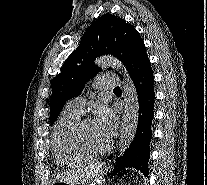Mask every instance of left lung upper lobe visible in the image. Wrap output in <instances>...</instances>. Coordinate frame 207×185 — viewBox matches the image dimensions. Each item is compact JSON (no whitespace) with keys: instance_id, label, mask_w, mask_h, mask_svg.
<instances>
[{"instance_id":"obj_1","label":"left lung upper lobe","mask_w":207,"mask_h":185,"mask_svg":"<svg viewBox=\"0 0 207 185\" xmlns=\"http://www.w3.org/2000/svg\"><path fill=\"white\" fill-rule=\"evenodd\" d=\"M142 38L124 19L104 14L86 30L78 48L73 51L59 75L51 81V125L56 121L64 104L78 96L86 81L100 69L94 59L104 54L117 57L126 66L131 78L150 66Z\"/></svg>"}]
</instances>
